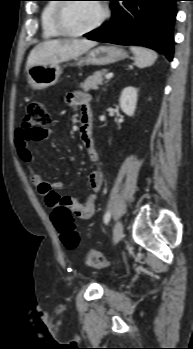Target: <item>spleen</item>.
I'll return each instance as SVG.
<instances>
[{"label":"spleen","mask_w":193,"mask_h":349,"mask_svg":"<svg viewBox=\"0 0 193 349\" xmlns=\"http://www.w3.org/2000/svg\"><path fill=\"white\" fill-rule=\"evenodd\" d=\"M130 49L134 54L135 65L138 68L149 67L153 65L158 58V54L155 51L144 47L132 46Z\"/></svg>","instance_id":"1"}]
</instances>
